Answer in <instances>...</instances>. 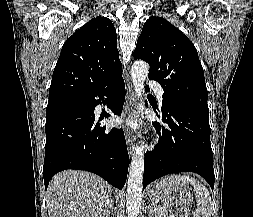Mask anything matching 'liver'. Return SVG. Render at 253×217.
Here are the masks:
<instances>
[{"instance_id": "obj_1", "label": "liver", "mask_w": 253, "mask_h": 217, "mask_svg": "<svg viewBox=\"0 0 253 217\" xmlns=\"http://www.w3.org/2000/svg\"><path fill=\"white\" fill-rule=\"evenodd\" d=\"M112 187L99 176L79 170L56 174L47 189L49 217H109Z\"/></svg>"}]
</instances>
